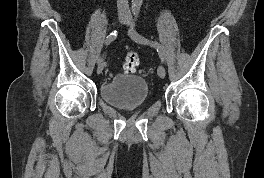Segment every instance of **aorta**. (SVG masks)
Listing matches in <instances>:
<instances>
[{
    "instance_id": "1",
    "label": "aorta",
    "mask_w": 264,
    "mask_h": 178,
    "mask_svg": "<svg viewBox=\"0 0 264 178\" xmlns=\"http://www.w3.org/2000/svg\"><path fill=\"white\" fill-rule=\"evenodd\" d=\"M143 0H132V10L139 11Z\"/></svg>"
}]
</instances>
